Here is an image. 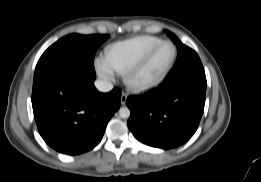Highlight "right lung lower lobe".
<instances>
[{
	"label": "right lung lower lobe",
	"mask_w": 261,
	"mask_h": 182,
	"mask_svg": "<svg viewBox=\"0 0 261 182\" xmlns=\"http://www.w3.org/2000/svg\"><path fill=\"white\" fill-rule=\"evenodd\" d=\"M94 65L59 57L35 69L32 107L41 137L53 149L76 155L93 149L120 107L121 92L94 87Z\"/></svg>",
	"instance_id": "right-lung-lower-lobe-1"
}]
</instances>
